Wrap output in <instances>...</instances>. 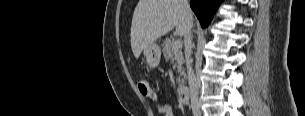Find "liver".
<instances>
[{
    "label": "liver",
    "instance_id": "obj_1",
    "mask_svg": "<svg viewBox=\"0 0 305 116\" xmlns=\"http://www.w3.org/2000/svg\"><path fill=\"white\" fill-rule=\"evenodd\" d=\"M192 12L184 9L183 0H139L131 24V48L136 59L143 49L173 28L183 36Z\"/></svg>",
    "mask_w": 305,
    "mask_h": 116
}]
</instances>
